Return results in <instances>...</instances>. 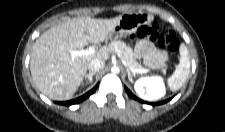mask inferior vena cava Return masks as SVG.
Segmentation results:
<instances>
[{"label":"inferior vena cava","mask_w":225,"mask_h":132,"mask_svg":"<svg viewBox=\"0 0 225 132\" xmlns=\"http://www.w3.org/2000/svg\"><path fill=\"white\" fill-rule=\"evenodd\" d=\"M104 66H105V62L103 60L94 59L89 62L88 70L90 71V73H96L100 71L101 69H103Z\"/></svg>","instance_id":"inferior-vena-cava-1"}]
</instances>
